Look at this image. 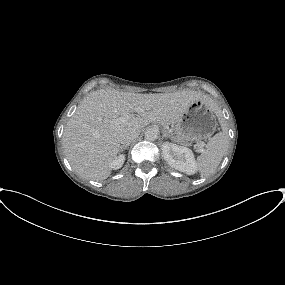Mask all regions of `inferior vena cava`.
Here are the masks:
<instances>
[{
    "label": "inferior vena cava",
    "mask_w": 285,
    "mask_h": 285,
    "mask_svg": "<svg viewBox=\"0 0 285 285\" xmlns=\"http://www.w3.org/2000/svg\"><path fill=\"white\" fill-rule=\"evenodd\" d=\"M139 133L137 132H125L120 135L119 141L124 146L129 145L134 139L138 137Z\"/></svg>",
    "instance_id": "obj_1"
}]
</instances>
